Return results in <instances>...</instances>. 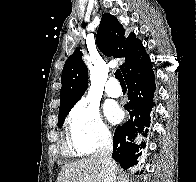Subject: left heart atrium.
Masks as SVG:
<instances>
[{
    "instance_id": "left-heart-atrium-1",
    "label": "left heart atrium",
    "mask_w": 196,
    "mask_h": 182,
    "mask_svg": "<svg viewBox=\"0 0 196 182\" xmlns=\"http://www.w3.org/2000/svg\"><path fill=\"white\" fill-rule=\"evenodd\" d=\"M105 114L111 123H117L122 119L121 109L113 103H109L106 105Z\"/></svg>"
}]
</instances>
